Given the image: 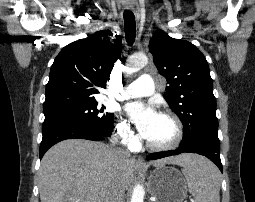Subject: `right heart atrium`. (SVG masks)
Returning a JSON list of instances; mask_svg holds the SVG:
<instances>
[{
  "mask_svg": "<svg viewBox=\"0 0 255 202\" xmlns=\"http://www.w3.org/2000/svg\"><path fill=\"white\" fill-rule=\"evenodd\" d=\"M115 132L121 142L127 146H132L136 142V136L126 120L120 119L118 121Z\"/></svg>",
  "mask_w": 255,
  "mask_h": 202,
  "instance_id": "1",
  "label": "right heart atrium"
}]
</instances>
